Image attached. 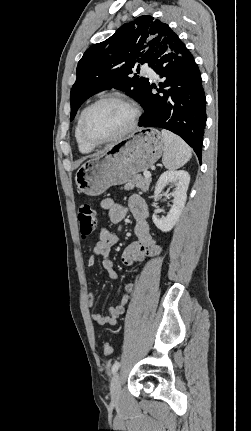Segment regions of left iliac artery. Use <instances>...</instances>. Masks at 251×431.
<instances>
[{
  "mask_svg": "<svg viewBox=\"0 0 251 431\" xmlns=\"http://www.w3.org/2000/svg\"><path fill=\"white\" fill-rule=\"evenodd\" d=\"M120 367V363L116 361L112 366V373H115Z\"/></svg>",
  "mask_w": 251,
  "mask_h": 431,
  "instance_id": "left-iliac-artery-1",
  "label": "left iliac artery"
}]
</instances>
